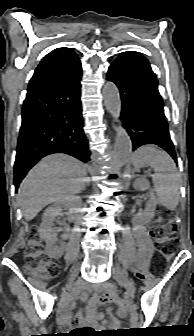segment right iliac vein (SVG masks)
Wrapping results in <instances>:
<instances>
[{"instance_id":"obj_1","label":"right iliac vein","mask_w":194,"mask_h":336,"mask_svg":"<svg viewBox=\"0 0 194 336\" xmlns=\"http://www.w3.org/2000/svg\"><path fill=\"white\" fill-rule=\"evenodd\" d=\"M78 271H79V266L75 267V269L73 270L71 276H70V282L74 280V278L78 275Z\"/></svg>"}]
</instances>
